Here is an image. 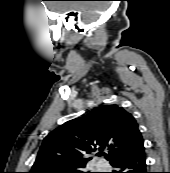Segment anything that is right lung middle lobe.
Returning <instances> with one entry per match:
<instances>
[{"label":"right lung middle lobe","instance_id":"obj_1","mask_svg":"<svg viewBox=\"0 0 170 173\" xmlns=\"http://www.w3.org/2000/svg\"><path fill=\"white\" fill-rule=\"evenodd\" d=\"M71 173H88V172H85L84 170H78V171H73Z\"/></svg>","mask_w":170,"mask_h":173}]
</instances>
